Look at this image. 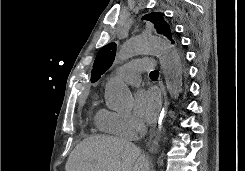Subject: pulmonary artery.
Masks as SVG:
<instances>
[{
    "mask_svg": "<svg viewBox=\"0 0 245 171\" xmlns=\"http://www.w3.org/2000/svg\"><path fill=\"white\" fill-rule=\"evenodd\" d=\"M151 66L152 60L149 58L133 60L119 67L116 75L127 83L138 84L140 81V74L149 71Z\"/></svg>",
    "mask_w": 245,
    "mask_h": 171,
    "instance_id": "pulmonary-artery-1",
    "label": "pulmonary artery"
}]
</instances>
